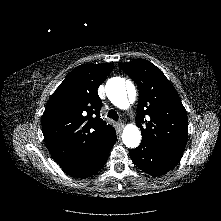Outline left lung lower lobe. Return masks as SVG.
Returning <instances> with one entry per match:
<instances>
[{
  "label": "left lung lower lobe",
  "mask_w": 221,
  "mask_h": 221,
  "mask_svg": "<svg viewBox=\"0 0 221 221\" xmlns=\"http://www.w3.org/2000/svg\"><path fill=\"white\" fill-rule=\"evenodd\" d=\"M129 153L134 164L152 176L167 173L182 157L180 152L165 149L146 140H142L140 146Z\"/></svg>",
  "instance_id": "0a47b994"
}]
</instances>
